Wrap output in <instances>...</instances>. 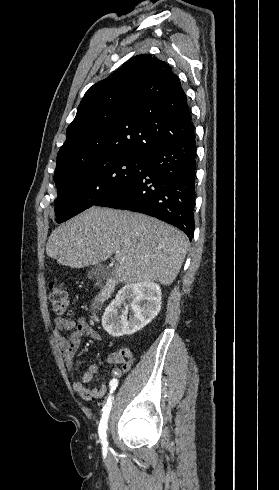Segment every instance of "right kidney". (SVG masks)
<instances>
[{"label": "right kidney", "mask_w": 279, "mask_h": 490, "mask_svg": "<svg viewBox=\"0 0 279 490\" xmlns=\"http://www.w3.org/2000/svg\"><path fill=\"white\" fill-rule=\"evenodd\" d=\"M161 288L155 282L126 284L119 290L115 300L107 306L102 316V326L113 338L131 336L147 326L161 310ZM131 300V304H125ZM145 302V304H143ZM124 306L121 316L119 310ZM130 310V316L127 318Z\"/></svg>", "instance_id": "right-kidney-1"}]
</instances>
